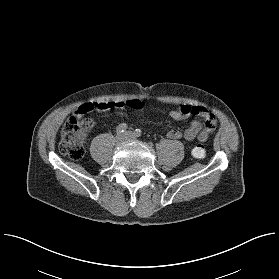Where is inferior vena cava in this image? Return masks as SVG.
<instances>
[{"label": "inferior vena cava", "instance_id": "602c4592", "mask_svg": "<svg viewBox=\"0 0 279 279\" xmlns=\"http://www.w3.org/2000/svg\"><path fill=\"white\" fill-rule=\"evenodd\" d=\"M125 138H126V139H130V138H131V135H130V134H127V135L125 136Z\"/></svg>", "mask_w": 279, "mask_h": 279}]
</instances>
